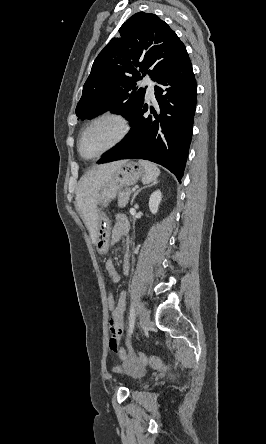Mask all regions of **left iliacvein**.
I'll return each instance as SVG.
<instances>
[{"mask_svg":"<svg viewBox=\"0 0 266 444\" xmlns=\"http://www.w3.org/2000/svg\"><path fill=\"white\" fill-rule=\"evenodd\" d=\"M139 314H140V320L142 323V329L144 332H147L149 329V326H150V315L144 305H141Z\"/></svg>","mask_w":266,"mask_h":444,"instance_id":"1","label":"left iliac vein"}]
</instances>
